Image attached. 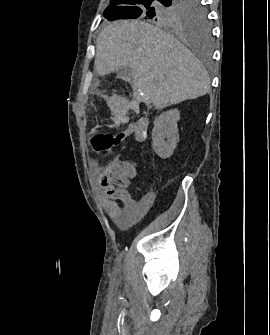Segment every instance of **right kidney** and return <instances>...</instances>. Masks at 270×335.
Listing matches in <instances>:
<instances>
[{"label":"right kidney","instance_id":"ca27d5eb","mask_svg":"<svg viewBox=\"0 0 270 335\" xmlns=\"http://www.w3.org/2000/svg\"><path fill=\"white\" fill-rule=\"evenodd\" d=\"M178 120H180L178 110L163 112L154 120V128L152 130L153 148L157 156H160L162 160L172 156L177 142H179ZM164 138H167V142H165Z\"/></svg>","mask_w":270,"mask_h":335}]
</instances>
